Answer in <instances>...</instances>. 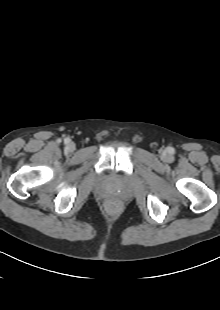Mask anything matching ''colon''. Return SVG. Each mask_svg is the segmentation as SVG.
I'll use <instances>...</instances> for the list:
<instances>
[{
    "label": "colon",
    "mask_w": 220,
    "mask_h": 310,
    "mask_svg": "<svg viewBox=\"0 0 220 310\" xmlns=\"http://www.w3.org/2000/svg\"><path fill=\"white\" fill-rule=\"evenodd\" d=\"M108 208L111 210H116L118 208V204L115 202H111L108 204Z\"/></svg>",
    "instance_id": "obj_1"
}]
</instances>
